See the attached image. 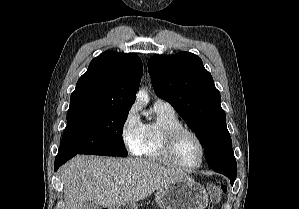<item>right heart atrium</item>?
Returning a JSON list of instances; mask_svg holds the SVG:
<instances>
[{
  "instance_id": "obj_1",
  "label": "right heart atrium",
  "mask_w": 299,
  "mask_h": 209,
  "mask_svg": "<svg viewBox=\"0 0 299 209\" xmlns=\"http://www.w3.org/2000/svg\"><path fill=\"white\" fill-rule=\"evenodd\" d=\"M142 122L137 114L136 107H131L121 124V138L126 149L135 153L141 140Z\"/></svg>"
}]
</instances>
